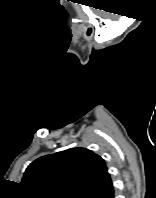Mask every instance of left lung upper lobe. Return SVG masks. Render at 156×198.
<instances>
[{"mask_svg":"<svg viewBox=\"0 0 156 198\" xmlns=\"http://www.w3.org/2000/svg\"><path fill=\"white\" fill-rule=\"evenodd\" d=\"M110 181L100 156L72 148L33 161L21 184L28 198H92Z\"/></svg>","mask_w":156,"mask_h":198,"instance_id":"left-lung-upper-lobe-1","label":"left lung upper lobe"}]
</instances>
